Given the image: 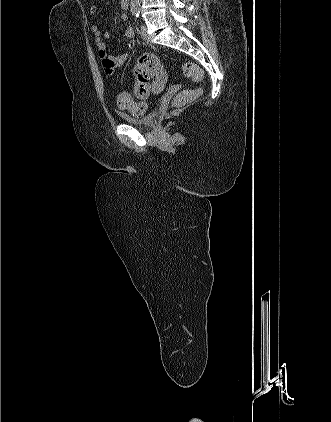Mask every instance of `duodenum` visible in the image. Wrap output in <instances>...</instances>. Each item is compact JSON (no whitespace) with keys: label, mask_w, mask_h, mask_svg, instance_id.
<instances>
[{"label":"duodenum","mask_w":331,"mask_h":422,"mask_svg":"<svg viewBox=\"0 0 331 422\" xmlns=\"http://www.w3.org/2000/svg\"><path fill=\"white\" fill-rule=\"evenodd\" d=\"M122 5L125 9L129 7L130 0H121Z\"/></svg>","instance_id":"1"}]
</instances>
